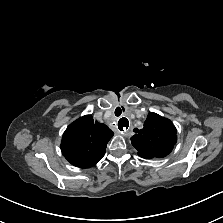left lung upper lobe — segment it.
I'll list each match as a JSON object with an SVG mask.
<instances>
[{
	"label": "left lung upper lobe",
	"mask_w": 223,
	"mask_h": 223,
	"mask_svg": "<svg viewBox=\"0 0 223 223\" xmlns=\"http://www.w3.org/2000/svg\"><path fill=\"white\" fill-rule=\"evenodd\" d=\"M132 145L142 158L167 156L176 144L177 130L173 123L156 113L150 112L142 129H134Z\"/></svg>",
	"instance_id": "left-lung-upper-lobe-1"
}]
</instances>
